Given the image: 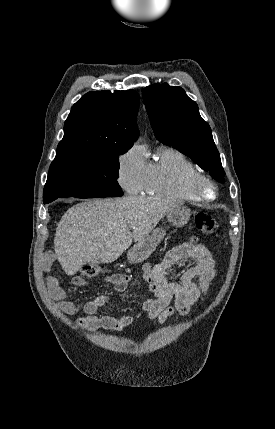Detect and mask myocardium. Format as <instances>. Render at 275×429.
Returning a JSON list of instances; mask_svg holds the SVG:
<instances>
[{
	"label": "myocardium",
	"instance_id": "f54148a6",
	"mask_svg": "<svg viewBox=\"0 0 275 429\" xmlns=\"http://www.w3.org/2000/svg\"><path fill=\"white\" fill-rule=\"evenodd\" d=\"M190 190L198 201H213L218 196V187L209 176L198 172L190 180Z\"/></svg>",
	"mask_w": 275,
	"mask_h": 429
}]
</instances>
